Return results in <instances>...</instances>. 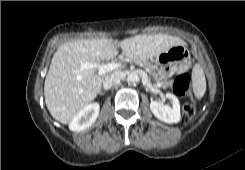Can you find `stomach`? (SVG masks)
<instances>
[{
  "label": "stomach",
  "mask_w": 245,
  "mask_h": 170,
  "mask_svg": "<svg viewBox=\"0 0 245 170\" xmlns=\"http://www.w3.org/2000/svg\"><path fill=\"white\" fill-rule=\"evenodd\" d=\"M154 64L158 75L166 80L186 71L191 65V59L184 45H176L155 56Z\"/></svg>",
  "instance_id": "obj_1"
}]
</instances>
